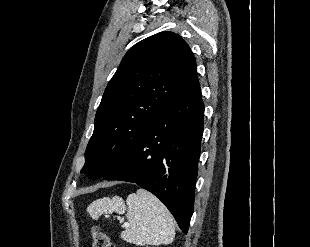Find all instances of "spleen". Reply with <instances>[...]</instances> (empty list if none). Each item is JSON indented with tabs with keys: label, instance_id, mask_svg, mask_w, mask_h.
I'll list each match as a JSON object with an SVG mask.
<instances>
[{
	"label": "spleen",
	"instance_id": "3e777b00",
	"mask_svg": "<svg viewBox=\"0 0 310 247\" xmlns=\"http://www.w3.org/2000/svg\"><path fill=\"white\" fill-rule=\"evenodd\" d=\"M87 211L93 219L102 214H124L127 211L129 225L121 233V238L139 246L168 245L175 237L173 216L156 196L144 189L130 194L126 204L119 196L105 197L92 202Z\"/></svg>",
	"mask_w": 310,
	"mask_h": 247
}]
</instances>
